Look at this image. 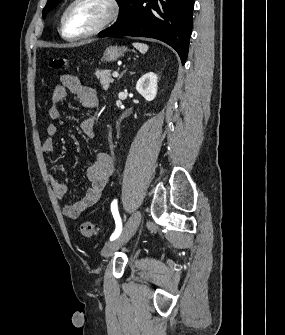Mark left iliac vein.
I'll return each mask as SVG.
<instances>
[{"mask_svg": "<svg viewBox=\"0 0 285 335\" xmlns=\"http://www.w3.org/2000/svg\"><path fill=\"white\" fill-rule=\"evenodd\" d=\"M141 216L142 215L140 211H137L130 216V218L125 223L120 235L113 241L105 244V246L102 248V256L109 257L113 255L120 247H122L131 239L139 226Z\"/></svg>", "mask_w": 285, "mask_h": 335, "instance_id": "obj_1", "label": "left iliac vein"}]
</instances>
